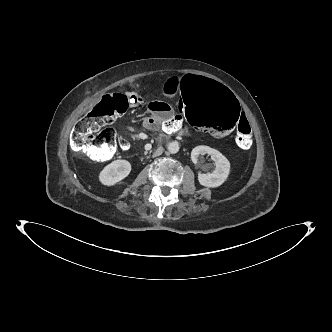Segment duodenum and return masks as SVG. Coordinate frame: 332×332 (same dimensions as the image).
Listing matches in <instances>:
<instances>
[{"label": "duodenum", "mask_w": 332, "mask_h": 332, "mask_svg": "<svg viewBox=\"0 0 332 332\" xmlns=\"http://www.w3.org/2000/svg\"><path fill=\"white\" fill-rule=\"evenodd\" d=\"M186 137L187 133L180 127H166L162 133L164 139L170 137Z\"/></svg>", "instance_id": "obj_1"}]
</instances>
